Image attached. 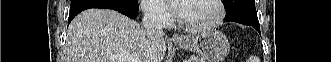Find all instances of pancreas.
<instances>
[{
  "mask_svg": "<svg viewBox=\"0 0 331 62\" xmlns=\"http://www.w3.org/2000/svg\"><path fill=\"white\" fill-rule=\"evenodd\" d=\"M190 62H204V60H202L201 58H198L196 56H192L190 58Z\"/></svg>",
  "mask_w": 331,
  "mask_h": 62,
  "instance_id": "cf45deb5",
  "label": "pancreas"
}]
</instances>
